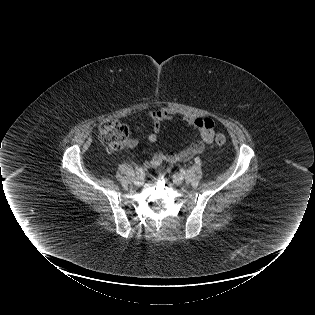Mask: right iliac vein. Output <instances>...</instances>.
Returning <instances> with one entry per match:
<instances>
[{"label": "right iliac vein", "instance_id": "1", "mask_svg": "<svg viewBox=\"0 0 315 315\" xmlns=\"http://www.w3.org/2000/svg\"><path fill=\"white\" fill-rule=\"evenodd\" d=\"M143 183H144V179H143V177H141V176H138V177H136V178L134 179V184H135L136 186H141V185H143Z\"/></svg>", "mask_w": 315, "mask_h": 315}]
</instances>
